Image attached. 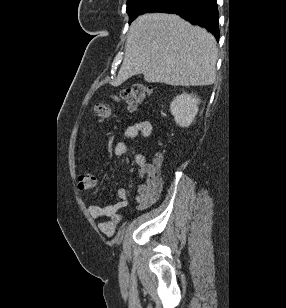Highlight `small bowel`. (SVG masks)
<instances>
[{
  "label": "small bowel",
  "instance_id": "1",
  "mask_svg": "<svg viewBox=\"0 0 286 308\" xmlns=\"http://www.w3.org/2000/svg\"><path fill=\"white\" fill-rule=\"evenodd\" d=\"M153 133V125L149 121L137 122L130 125L124 132L123 139L115 147V155L123 156L127 153L130 142L137 136L148 138ZM161 158L158 156L154 163H149L144 152L135 155V163L139 167V176L142 180L138 187V195L135 204L138 210H145L156 203L160 197L163 181L158 172ZM118 201L112 205H90L87 210L90 216L101 219L107 218L98 224L99 230L111 236L115 232L122 217L118 213L127 205V190L120 187L116 190Z\"/></svg>",
  "mask_w": 286,
  "mask_h": 308
}]
</instances>
